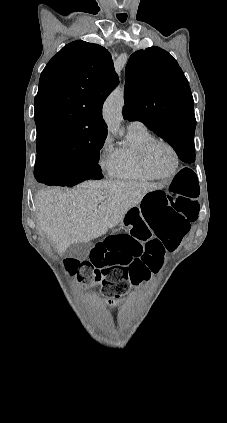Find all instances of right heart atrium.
<instances>
[{"instance_id":"right-heart-atrium-1","label":"right heart atrium","mask_w":227,"mask_h":423,"mask_svg":"<svg viewBox=\"0 0 227 423\" xmlns=\"http://www.w3.org/2000/svg\"><path fill=\"white\" fill-rule=\"evenodd\" d=\"M114 150L109 137H105L99 147L97 162L101 170L111 174L114 165Z\"/></svg>"}]
</instances>
